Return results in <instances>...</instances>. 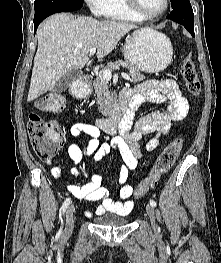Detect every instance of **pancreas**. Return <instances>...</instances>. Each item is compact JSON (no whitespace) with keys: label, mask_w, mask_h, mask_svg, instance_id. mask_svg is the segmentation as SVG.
<instances>
[{"label":"pancreas","mask_w":221,"mask_h":263,"mask_svg":"<svg viewBox=\"0 0 221 263\" xmlns=\"http://www.w3.org/2000/svg\"><path fill=\"white\" fill-rule=\"evenodd\" d=\"M123 65L129 69V76L131 77L130 82L136 83L143 81L145 79V75L140 73V71L134 66L124 63L122 61L110 62L108 63L97 75L96 79L93 81V86L95 89V93L97 94V104L99 105V111L104 116H111L114 114V106L116 103L115 97L110 94L108 81L103 78V72L105 70H115Z\"/></svg>","instance_id":"1"}]
</instances>
